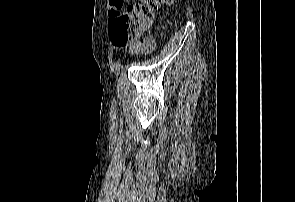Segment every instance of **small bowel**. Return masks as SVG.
I'll list each match as a JSON object with an SVG mask.
<instances>
[{"label":"small bowel","instance_id":"small-bowel-1","mask_svg":"<svg viewBox=\"0 0 295 202\" xmlns=\"http://www.w3.org/2000/svg\"><path fill=\"white\" fill-rule=\"evenodd\" d=\"M125 4V0H109V17L112 20H115L116 17L122 12ZM152 24V23H151ZM147 42L151 44V48L155 45V40L152 37H147L145 39ZM128 49L131 52H140L136 47L128 45Z\"/></svg>","mask_w":295,"mask_h":202}]
</instances>
